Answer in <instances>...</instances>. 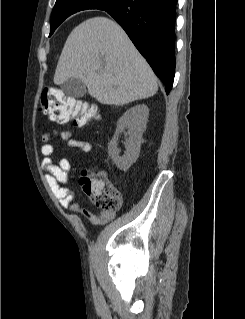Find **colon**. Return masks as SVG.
<instances>
[{
    "mask_svg": "<svg viewBox=\"0 0 245 319\" xmlns=\"http://www.w3.org/2000/svg\"><path fill=\"white\" fill-rule=\"evenodd\" d=\"M42 110L53 120H72L77 126H85L99 118L97 108L88 103L66 96L55 88H46L41 95ZM80 186L92 203L103 211H116L121 206V195L104 171H83Z\"/></svg>",
    "mask_w": 245,
    "mask_h": 319,
    "instance_id": "5ec220e1",
    "label": "colon"
}]
</instances>
